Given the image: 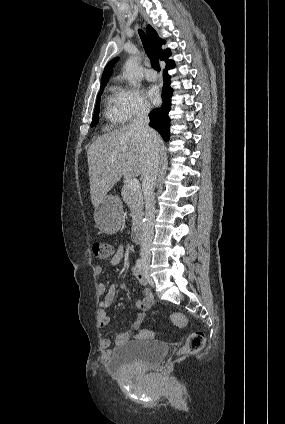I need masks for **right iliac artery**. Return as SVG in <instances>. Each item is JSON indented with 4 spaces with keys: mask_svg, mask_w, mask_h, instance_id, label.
<instances>
[{
    "mask_svg": "<svg viewBox=\"0 0 285 424\" xmlns=\"http://www.w3.org/2000/svg\"><path fill=\"white\" fill-rule=\"evenodd\" d=\"M136 266H137L140 270H142V269H143V261H142L141 259H138V260L136 261Z\"/></svg>",
    "mask_w": 285,
    "mask_h": 424,
    "instance_id": "82829eb1",
    "label": "right iliac artery"
}]
</instances>
